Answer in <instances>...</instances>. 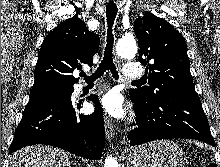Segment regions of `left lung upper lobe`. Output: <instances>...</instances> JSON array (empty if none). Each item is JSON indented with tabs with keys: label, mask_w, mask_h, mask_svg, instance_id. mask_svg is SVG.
<instances>
[{
	"label": "left lung upper lobe",
	"mask_w": 220,
	"mask_h": 167,
	"mask_svg": "<svg viewBox=\"0 0 220 167\" xmlns=\"http://www.w3.org/2000/svg\"><path fill=\"white\" fill-rule=\"evenodd\" d=\"M134 31L140 48L138 61L150 71L147 77L150 87L132 89L130 93L148 103L168 92L198 96L182 34L150 12L136 19Z\"/></svg>",
	"instance_id": "obj_1"
}]
</instances>
